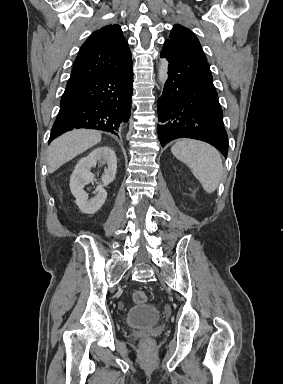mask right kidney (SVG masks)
I'll return each mask as SVG.
<instances>
[{
  "label": "right kidney",
  "instance_id": "ca27d5eb",
  "mask_svg": "<svg viewBox=\"0 0 283 384\" xmlns=\"http://www.w3.org/2000/svg\"><path fill=\"white\" fill-rule=\"evenodd\" d=\"M99 166H107L102 174V184H99L95 190V198L88 200V194L83 190L84 184H91L94 180V174H91V168H94L96 164ZM117 160L116 154L108 148V146H101V148H95L90 152L87 158H81L78 164L75 166L73 174L70 178V190L76 198V204L83 212V214H95L103 206L107 192L104 190V186L111 184L116 178Z\"/></svg>",
  "mask_w": 283,
  "mask_h": 384
}]
</instances>
